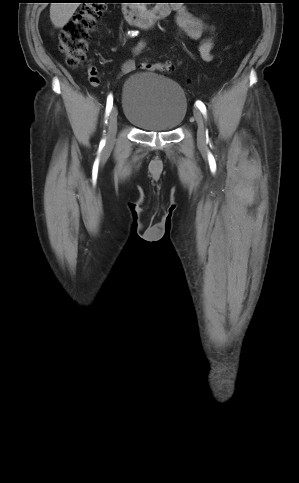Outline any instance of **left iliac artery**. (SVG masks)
Segmentation results:
<instances>
[{"instance_id":"left-iliac-artery-1","label":"left iliac artery","mask_w":299,"mask_h":483,"mask_svg":"<svg viewBox=\"0 0 299 483\" xmlns=\"http://www.w3.org/2000/svg\"><path fill=\"white\" fill-rule=\"evenodd\" d=\"M196 106H197V107L200 109V111H201V112H202L204 115H206V107H205V105H204V103H203V102H201V101H199V100H198V101H196Z\"/></svg>"}]
</instances>
